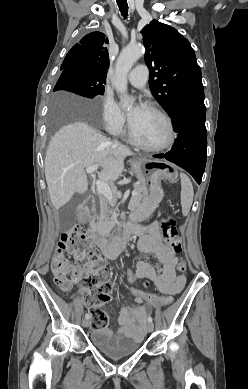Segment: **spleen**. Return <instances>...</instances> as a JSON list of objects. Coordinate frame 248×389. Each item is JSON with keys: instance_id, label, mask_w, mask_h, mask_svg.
<instances>
[{"instance_id": "spleen-1", "label": "spleen", "mask_w": 248, "mask_h": 389, "mask_svg": "<svg viewBox=\"0 0 248 389\" xmlns=\"http://www.w3.org/2000/svg\"><path fill=\"white\" fill-rule=\"evenodd\" d=\"M180 180L182 213L184 216H186L188 215L193 203L194 191L191 180L186 174L180 173Z\"/></svg>"}]
</instances>
